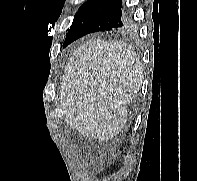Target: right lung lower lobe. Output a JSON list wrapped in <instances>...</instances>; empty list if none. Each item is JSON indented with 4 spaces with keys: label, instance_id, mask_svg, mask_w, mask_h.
<instances>
[{
    "label": "right lung lower lobe",
    "instance_id": "right-lung-lower-lobe-1",
    "mask_svg": "<svg viewBox=\"0 0 197 181\" xmlns=\"http://www.w3.org/2000/svg\"><path fill=\"white\" fill-rule=\"evenodd\" d=\"M130 25L122 0H97L85 9L71 26L63 47L76 39L99 31L115 30Z\"/></svg>",
    "mask_w": 197,
    "mask_h": 181
}]
</instances>
